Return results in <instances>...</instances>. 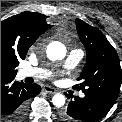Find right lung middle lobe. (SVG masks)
<instances>
[{
  "label": "right lung middle lobe",
  "mask_w": 122,
  "mask_h": 122,
  "mask_svg": "<svg viewBox=\"0 0 122 122\" xmlns=\"http://www.w3.org/2000/svg\"><path fill=\"white\" fill-rule=\"evenodd\" d=\"M19 64L17 59L10 56H1V75L15 77L17 70L16 66Z\"/></svg>",
  "instance_id": "right-lung-middle-lobe-1"
}]
</instances>
